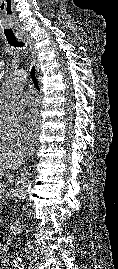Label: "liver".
<instances>
[{
    "mask_svg": "<svg viewBox=\"0 0 118 269\" xmlns=\"http://www.w3.org/2000/svg\"><path fill=\"white\" fill-rule=\"evenodd\" d=\"M23 154L18 150L1 149L0 150V178L3 176L5 170H16L23 164Z\"/></svg>",
    "mask_w": 118,
    "mask_h": 269,
    "instance_id": "1",
    "label": "liver"
}]
</instances>
